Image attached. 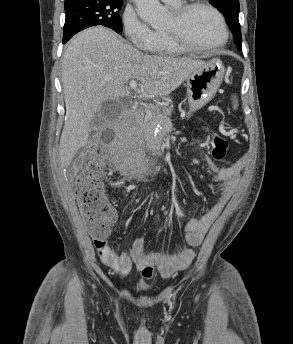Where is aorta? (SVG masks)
Segmentation results:
<instances>
[{
	"label": "aorta",
	"instance_id": "obj_1",
	"mask_svg": "<svg viewBox=\"0 0 293 344\" xmlns=\"http://www.w3.org/2000/svg\"><path fill=\"white\" fill-rule=\"evenodd\" d=\"M139 17L156 28L167 19V10L158 0H135Z\"/></svg>",
	"mask_w": 293,
	"mask_h": 344
}]
</instances>
